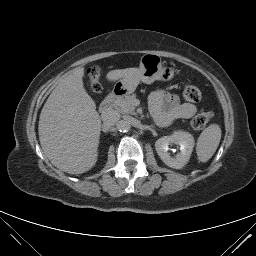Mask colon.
<instances>
[{
    "label": "colon",
    "instance_id": "5ec220e1",
    "mask_svg": "<svg viewBox=\"0 0 256 256\" xmlns=\"http://www.w3.org/2000/svg\"><path fill=\"white\" fill-rule=\"evenodd\" d=\"M89 86L91 90L95 93L100 92L101 90V83L99 79V71L96 68H92L89 71ZM184 98L189 102H199L202 97V93L200 89L196 86L189 85L185 87L183 91ZM213 113L211 111L202 112L196 115L191 120V126L195 130L203 129L213 118Z\"/></svg>",
    "mask_w": 256,
    "mask_h": 256
}]
</instances>
